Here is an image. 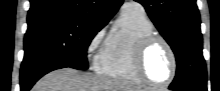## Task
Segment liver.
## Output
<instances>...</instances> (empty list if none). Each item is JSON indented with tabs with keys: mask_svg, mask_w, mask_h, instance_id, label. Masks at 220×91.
<instances>
[{
	"mask_svg": "<svg viewBox=\"0 0 220 91\" xmlns=\"http://www.w3.org/2000/svg\"><path fill=\"white\" fill-rule=\"evenodd\" d=\"M32 91H142L125 81L88 74L63 68L42 77Z\"/></svg>",
	"mask_w": 220,
	"mask_h": 91,
	"instance_id": "obj_1",
	"label": "liver"
}]
</instances>
